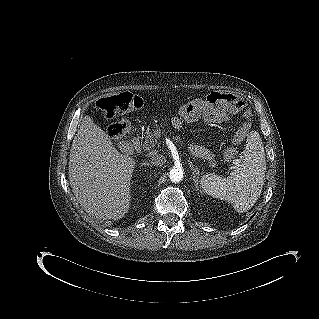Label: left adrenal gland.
Returning <instances> with one entry per match:
<instances>
[{
  "instance_id": "obj_1",
  "label": "left adrenal gland",
  "mask_w": 319,
  "mask_h": 319,
  "mask_svg": "<svg viewBox=\"0 0 319 319\" xmlns=\"http://www.w3.org/2000/svg\"><path fill=\"white\" fill-rule=\"evenodd\" d=\"M189 166H190V169L193 171V173H196V175L199 174L198 168L195 167L192 162H189Z\"/></svg>"
}]
</instances>
